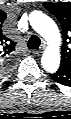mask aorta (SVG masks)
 Here are the masks:
<instances>
[{"mask_svg": "<svg viewBox=\"0 0 71 119\" xmlns=\"http://www.w3.org/2000/svg\"><path fill=\"white\" fill-rule=\"evenodd\" d=\"M30 24L48 43L49 48L44 52L41 64L49 73L57 71L60 65V53L58 48L61 44V37L56 23L40 11H33L30 14Z\"/></svg>", "mask_w": 71, "mask_h": 119, "instance_id": "aorta-1", "label": "aorta"}]
</instances>
